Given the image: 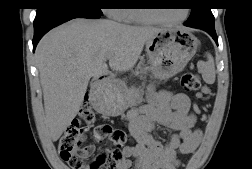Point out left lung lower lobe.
<instances>
[{"label":"left lung lower lobe","mask_w":252,"mask_h":169,"mask_svg":"<svg viewBox=\"0 0 252 169\" xmlns=\"http://www.w3.org/2000/svg\"><path fill=\"white\" fill-rule=\"evenodd\" d=\"M202 30L206 31L214 39V41L218 45V37L216 35L215 29H202Z\"/></svg>","instance_id":"left-lung-lower-lobe-1"}]
</instances>
